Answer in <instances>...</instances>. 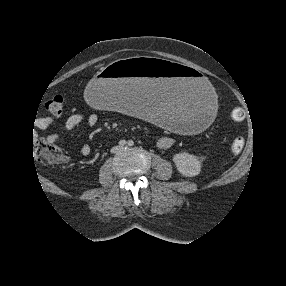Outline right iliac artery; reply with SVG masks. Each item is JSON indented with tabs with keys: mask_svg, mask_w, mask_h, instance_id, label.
<instances>
[{
	"mask_svg": "<svg viewBox=\"0 0 286 286\" xmlns=\"http://www.w3.org/2000/svg\"><path fill=\"white\" fill-rule=\"evenodd\" d=\"M126 141L125 140H120L119 141V146L124 147L126 145Z\"/></svg>",
	"mask_w": 286,
	"mask_h": 286,
	"instance_id": "82829eb1",
	"label": "right iliac artery"
}]
</instances>
